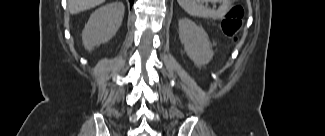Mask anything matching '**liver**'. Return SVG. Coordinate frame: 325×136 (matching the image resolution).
I'll return each instance as SVG.
<instances>
[{"label":"liver","mask_w":325,"mask_h":136,"mask_svg":"<svg viewBox=\"0 0 325 136\" xmlns=\"http://www.w3.org/2000/svg\"><path fill=\"white\" fill-rule=\"evenodd\" d=\"M105 0H68V10L71 14H77L102 4Z\"/></svg>","instance_id":"obj_1"}]
</instances>
